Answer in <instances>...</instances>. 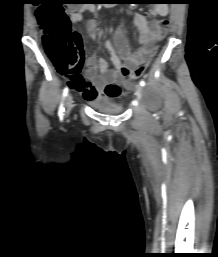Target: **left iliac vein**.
Wrapping results in <instances>:
<instances>
[{
    "mask_svg": "<svg viewBox=\"0 0 218 257\" xmlns=\"http://www.w3.org/2000/svg\"><path fill=\"white\" fill-rule=\"evenodd\" d=\"M135 94H136V96H137L138 98H140V99L142 98L143 88H142L140 85H138V86L136 87Z\"/></svg>",
    "mask_w": 218,
    "mask_h": 257,
    "instance_id": "4c4485c4",
    "label": "left iliac vein"
}]
</instances>
